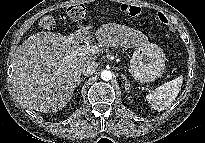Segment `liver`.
Returning a JSON list of instances; mask_svg holds the SVG:
<instances>
[{"label":"liver","instance_id":"liver-1","mask_svg":"<svg viewBox=\"0 0 205 143\" xmlns=\"http://www.w3.org/2000/svg\"><path fill=\"white\" fill-rule=\"evenodd\" d=\"M90 28L82 27L68 36L38 32L16 49L12 78L22 105L44 113L57 112L67 105L83 66L98 58L97 53L82 50L81 54L66 59L82 48L80 39ZM95 37L107 48H134L148 42L142 32L115 23L103 24L96 30Z\"/></svg>","mask_w":205,"mask_h":143}]
</instances>
